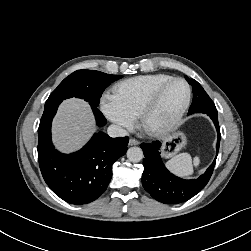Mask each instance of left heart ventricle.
Returning a JSON list of instances; mask_svg holds the SVG:
<instances>
[{"instance_id":"left-heart-ventricle-1","label":"left heart ventricle","mask_w":251,"mask_h":251,"mask_svg":"<svg viewBox=\"0 0 251 251\" xmlns=\"http://www.w3.org/2000/svg\"><path fill=\"white\" fill-rule=\"evenodd\" d=\"M187 98V88L183 82L171 83L162 92L156 108L149 117L152 127H159L169 122L182 108Z\"/></svg>"}]
</instances>
